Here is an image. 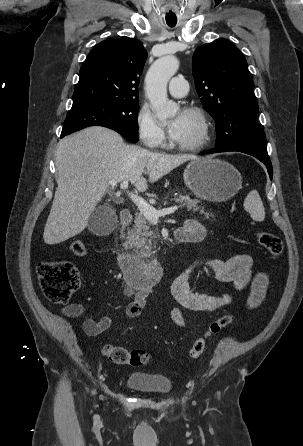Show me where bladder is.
I'll use <instances>...</instances> for the list:
<instances>
[{"mask_svg": "<svg viewBox=\"0 0 303 446\" xmlns=\"http://www.w3.org/2000/svg\"><path fill=\"white\" fill-rule=\"evenodd\" d=\"M126 385L135 391L152 394H163L171 389V381L167 376L144 371L130 373Z\"/></svg>", "mask_w": 303, "mask_h": 446, "instance_id": "1", "label": "bladder"}]
</instances>
